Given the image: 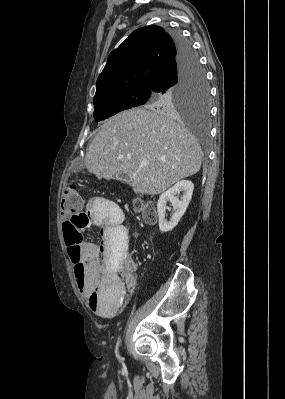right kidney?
Returning a JSON list of instances; mask_svg holds the SVG:
<instances>
[{"label":"right kidney","mask_w":285,"mask_h":399,"mask_svg":"<svg viewBox=\"0 0 285 399\" xmlns=\"http://www.w3.org/2000/svg\"><path fill=\"white\" fill-rule=\"evenodd\" d=\"M194 190V184L189 180H182L176 183L173 187L164 192L157 203L158 217H159V229L161 232L171 231L180 221L181 217L186 212L189 202L192 198ZM183 193L181 200L177 198V195ZM171 202L174 214L171 219L167 221L165 219L167 202Z\"/></svg>","instance_id":"1"}]
</instances>
